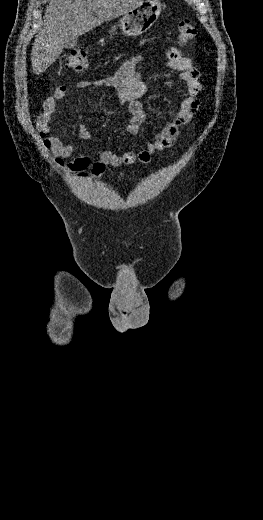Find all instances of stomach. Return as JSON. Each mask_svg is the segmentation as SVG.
Here are the masks:
<instances>
[{
	"label": "stomach",
	"mask_w": 263,
	"mask_h": 520,
	"mask_svg": "<svg viewBox=\"0 0 263 520\" xmlns=\"http://www.w3.org/2000/svg\"><path fill=\"white\" fill-rule=\"evenodd\" d=\"M162 10L159 0H144L140 5L132 8L123 15L118 26H112L109 33L119 27L124 35L136 37L152 27Z\"/></svg>",
	"instance_id": "stomach-1"
}]
</instances>
